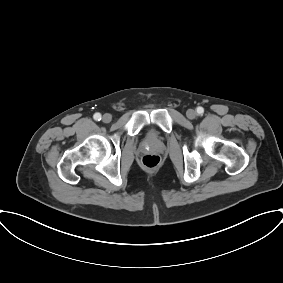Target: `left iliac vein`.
Listing matches in <instances>:
<instances>
[{
  "label": "left iliac vein",
  "instance_id": "1",
  "mask_svg": "<svg viewBox=\"0 0 283 283\" xmlns=\"http://www.w3.org/2000/svg\"><path fill=\"white\" fill-rule=\"evenodd\" d=\"M186 115L189 119H194L196 117V111L193 109H188Z\"/></svg>",
  "mask_w": 283,
  "mask_h": 283
}]
</instances>
